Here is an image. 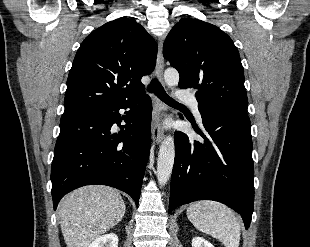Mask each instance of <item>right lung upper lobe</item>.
<instances>
[{
  "mask_svg": "<svg viewBox=\"0 0 310 247\" xmlns=\"http://www.w3.org/2000/svg\"><path fill=\"white\" fill-rule=\"evenodd\" d=\"M156 55V42L135 19L119 18L102 25L76 53L67 79L65 111L141 96V78L153 71Z\"/></svg>",
  "mask_w": 310,
  "mask_h": 247,
  "instance_id": "cb5924a9",
  "label": "right lung upper lobe"
}]
</instances>
